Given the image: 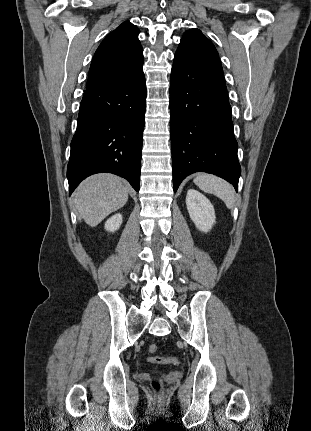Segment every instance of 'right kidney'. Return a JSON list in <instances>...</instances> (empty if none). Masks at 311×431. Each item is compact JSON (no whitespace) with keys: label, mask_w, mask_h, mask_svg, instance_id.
Wrapping results in <instances>:
<instances>
[{"label":"right kidney","mask_w":311,"mask_h":431,"mask_svg":"<svg viewBox=\"0 0 311 431\" xmlns=\"http://www.w3.org/2000/svg\"><path fill=\"white\" fill-rule=\"evenodd\" d=\"M122 221V214H115V216L109 217V219L105 221V229H108V231H115V229H119Z\"/></svg>","instance_id":"ca27d5eb"}]
</instances>
